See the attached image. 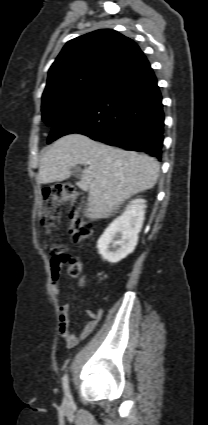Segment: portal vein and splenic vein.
<instances>
[{
	"instance_id": "portal-vein-and-splenic-vein-1",
	"label": "portal vein and splenic vein",
	"mask_w": 208,
	"mask_h": 425,
	"mask_svg": "<svg viewBox=\"0 0 208 425\" xmlns=\"http://www.w3.org/2000/svg\"><path fill=\"white\" fill-rule=\"evenodd\" d=\"M87 165H91V162H86Z\"/></svg>"
}]
</instances>
